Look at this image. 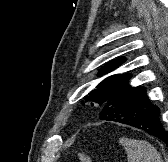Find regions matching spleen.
<instances>
[{
    "mask_svg": "<svg viewBox=\"0 0 168 162\" xmlns=\"http://www.w3.org/2000/svg\"><path fill=\"white\" fill-rule=\"evenodd\" d=\"M119 143L127 153L128 162H163L157 149L145 140L121 137Z\"/></svg>",
    "mask_w": 168,
    "mask_h": 162,
    "instance_id": "spleen-1",
    "label": "spleen"
}]
</instances>
